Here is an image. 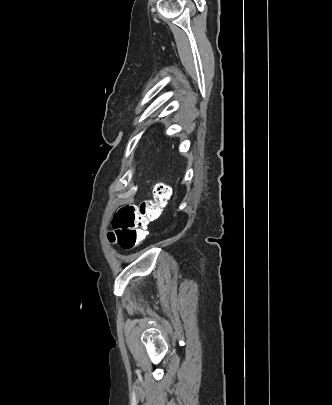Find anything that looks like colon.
I'll return each instance as SVG.
<instances>
[{"instance_id": "5ec220e1", "label": "colon", "mask_w": 332, "mask_h": 405, "mask_svg": "<svg viewBox=\"0 0 332 405\" xmlns=\"http://www.w3.org/2000/svg\"><path fill=\"white\" fill-rule=\"evenodd\" d=\"M169 195L170 188L166 184L159 183L153 190L152 199L145 200L138 206H126L121 209L120 244L124 249H132L145 241L148 224L159 218Z\"/></svg>"}]
</instances>
